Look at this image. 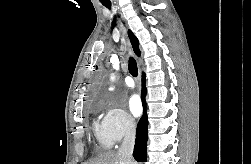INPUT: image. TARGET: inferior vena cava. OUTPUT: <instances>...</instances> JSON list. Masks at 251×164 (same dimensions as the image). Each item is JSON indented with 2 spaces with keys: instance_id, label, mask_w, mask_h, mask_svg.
<instances>
[{
  "instance_id": "inferior-vena-cava-1",
  "label": "inferior vena cava",
  "mask_w": 251,
  "mask_h": 164,
  "mask_svg": "<svg viewBox=\"0 0 251 164\" xmlns=\"http://www.w3.org/2000/svg\"><path fill=\"white\" fill-rule=\"evenodd\" d=\"M135 133V123L132 119H129L126 124L124 140L118 150V154L120 155L122 161H124L125 164H133L132 153L135 144Z\"/></svg>"
}]
</instances>
